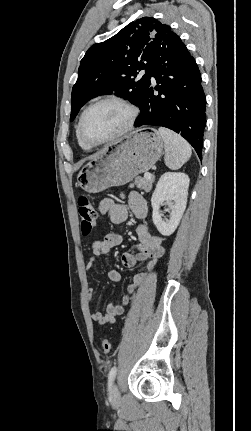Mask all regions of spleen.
I'll return each mask as SVG.
<instances>
[{
	"label": "spleen",
	"mask_w": 251,
	"mask_h": 431,
	"mask_svg": "<svg viewBox=\"0 0 251 431\" xmlns=\"http://www.w3.org/2000/svg\"><path fill=\"white\" fill-rule=\"evenodd\" d=\"M158 133L164 142L165 164L170 169H179L191 157V147L177 133L160 127Z\"/></svg>",
	"instance_id": "obj_1"
}]
</instances>
